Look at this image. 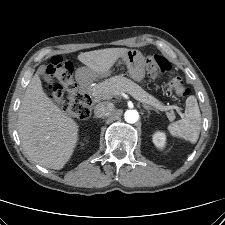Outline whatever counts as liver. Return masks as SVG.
<instances>
[{
    "instance_id": "1",
    "label": "liver",
    "mask_w": 225,
    "mask_h": 225,
    "mask_svg": "<svg viewBox=\"0 0 225 225\" xmlns=\"http://www.w3.org/2000/svg\"><path fill=\"white\" fill-rule=\"evenodd\" d=\"M128 50H94L79 54L78 60L102 74ZM17 123L22 146L31 161L55 170L62 169L69 161L79 140V127L46 95L38 72L26 89Z\"/></svg>"
}]
</instances>
